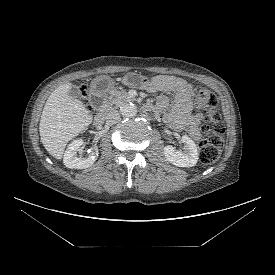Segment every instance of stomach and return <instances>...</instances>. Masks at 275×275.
Returning a JSON list of instances; mask_svg holds the SVG:
<instances>
[{
  "mask_svg": "<svg viewBox=\"0 0 275 275\" xmlns=\"http://www.w3.org/2000/svg\"><path fill=\"white\" fill-rule=\"evenodd\" d=\"M114 82L107 76H98L91 83V90L95 95H103L111 92Z\"/></svg>",
  "mask_w": 275,
  "mask_h": 275,
  "instance_id": "stomach-1",
  "label": "stomach"
}]
</instances>
